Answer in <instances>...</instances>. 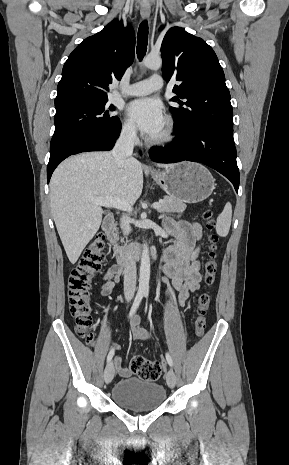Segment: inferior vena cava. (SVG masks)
Returning <instances> with one entry per match:
<instances>
[{
    "label": "inferior vena cava",
    "mask_w": 289,
    "mask_h": 465,
    "mask_svg": "<svg viewBox=\"0 0 289 465\" xmlns=\"http://www.w3.org/2000/svg\"><path fill=\"white\" fill-rule=\"evenodd\" d=\"M136 130L134 127L124 129L112 150V155L117 163L121 164L126 159L131 158L133 154L134 143L136 140ZM121 228L124 234L128 235L130 232V218L126 215L121 218ZM137 270L136 263L130 251L125 254L124 265V294L127 300L134 297L136 290Z\"/></svg>",
    "instance_id": "602c4592"
}]
</instances>
